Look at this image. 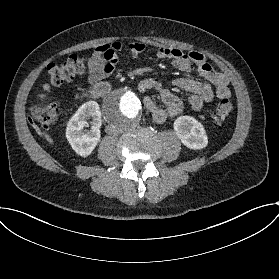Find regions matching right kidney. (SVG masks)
<instances>
[{
  "label": "right kidney",
  "instance_id": "ca27d5eb",
  "mask_svg": "<svg viewBox=\"0 0 279 279\" xmlns=\"http://www.w3.org/2000/svg\"><path fill=\"white\" fill-rule=\"evenodd\" d=\"M91 118L89 124L85 119ZM102 115L100 106L95 101L83 104L69 120L66 127V137L72 149L81 157H88L100 142ZM92 126L90 131L85 128Z\"/></svg>",
  "mask_w": 279,
  "mask_h": 279
}]
</instances>
